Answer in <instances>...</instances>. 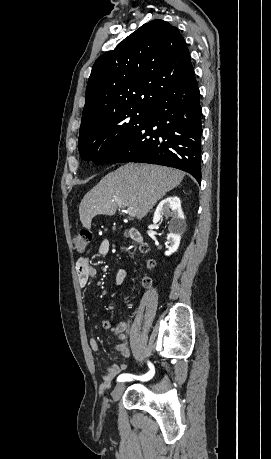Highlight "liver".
<instances>
[{
    "instance_id": "liver-1",
    "label": "liver",
    "mask_w": 271,
    "mask_h": 459,
    "mask_svg": "<svg viewBox=\"0 0 271 459\" xmlns=\"http://www.w3.org/2000/svg\"><path fill=\"white\" fill-rule=\"evenodd\" d=\"M185 174L173 168L150 164H125L107 174L84 196L79 214L83 228L90 229L98 214L114 216L118 204L135 208L136 218L147 216L158 200L182 182Z\"/></svg>"
}]
</instances>
